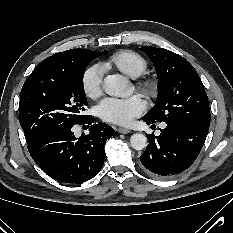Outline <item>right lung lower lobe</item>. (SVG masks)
Segmentation results:
<instances>
[{
    "label": "right lung lower lobe",
    "mask_w": 233,
    "mask_h": 233,
    "mask_svg": "<svg viewBox=\"0 0 233 233\" xmlns=\"http://www.w3.org/2000/svg\"><path fill=\"white\" fill-rule=\"evenodd\" d=\"M87 115L79 125H88L90 132L76 138L72 126L47 131L31 142L28 151L38 166L51 178L79 184L99 173L105 161V142L115 131L109 125L93 124Z\"/></svg>",
    "instance_id": "obj_1"
}]
</instances>
